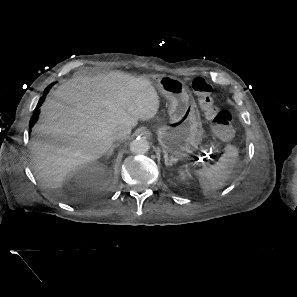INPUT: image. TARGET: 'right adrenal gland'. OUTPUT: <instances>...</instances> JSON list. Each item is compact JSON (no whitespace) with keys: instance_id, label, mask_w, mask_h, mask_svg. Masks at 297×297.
Listing matches in <instances>:
<instances>
[{"instance_id":"right-adrenal-gland-1","label":"right adrenal gland","mask_w":297,"mask_h":297,"mask_svg":"<svg viewBox=\"0 0 297 297\" xmlns=\"http://www.w3.org/2000/svg\"><path fill=\"white\" fill-rule=\"evenodd\" d=\"M117 146H118L117 144L112 145V147L110 148V150L107 153V156H111L113 154L114 148L117 147Z\"/></svg>"}]
</instances>
